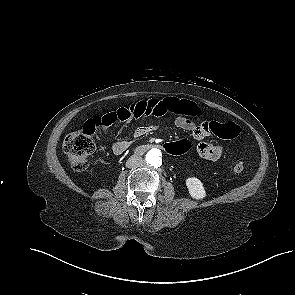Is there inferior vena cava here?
<instances>
[{
	"instance_id": "inferior-vena-cava-1",
	"label": "inferior vena cava",
	"mask_w": 295,
	"mask_h": 295,
	"mask_svg": "<svg viewBox=\"0 0 295 295\" xmlns=\"http://www.w3.org/2000/svg\"><path fill=\"white\" fill-rule=\"evenodd\" d=\"M143 164H144V160L140 156L133 155L127 160L126 167L137 168L142 166Z\"/></svg>"
}]
</instances>
